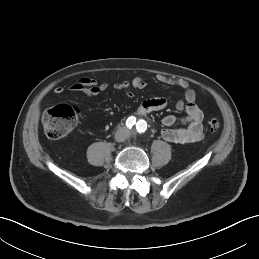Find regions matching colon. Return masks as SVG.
<instances>
[{"label": "colon", "instance_id": "obj_1", "mask_svg": "<svg viewBox=\"0 0 259 259\" xmlns=\"http://www.w3.org/2000/svg\"><path fill=\"white\" fill-rule=\"evenodd\" d=\"M77 118V109L67 104H59L43 114L42 127L47 137L60 139L75 127ZM220 126V122L214 118L207 122V129L210 132H217Z\"/></svg>", "mask_w": 259, "mask_h": 259}]
</instances>
